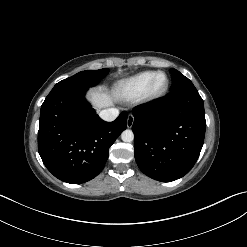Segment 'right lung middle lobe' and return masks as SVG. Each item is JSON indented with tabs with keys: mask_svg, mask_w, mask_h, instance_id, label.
Segmentation results:
<instances>
[{
	"mask_svg": "<svg viewBox=\"0 0 247 247\" xmlns=\"http://www.w3.org/2000/svg\"><path fill=\"white\" fill-rule=\"evenodd\" d=\"M109 72V69L85 70L58 82L53 89L61 87H93Z\"/></svg>",
	"mask_w": 247,
	"mask_h": 247,
	"instance_id": "right-lung-middle-lobe-1",
	"label": "right lung middle lobe"
}]
</instances>
